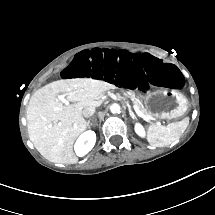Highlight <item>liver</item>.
Listing matches in <instances>:
<instances>
[{
	"mask_svg": "<svg viewBox=\"0 0 215 215\" xmlns=\"http://www.w3.org/2000/svg\"><path fill=\"white\" fill-rule=\"evenodd\" d=\"M112 88L101 80L72 78L38 89L30 98L26 116L29 139L38 152L51 162L77 163L73 144L87 123L82 110L99 107L103 93ZM60 93L72 104L64 105L57 98Z\"/></svg>",
	"mask_w": 215,
	"mask_h": 215,
	"instance_id": "liver-1",
	"label": "liver"
}]
</instances>
